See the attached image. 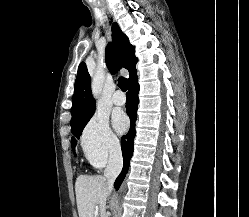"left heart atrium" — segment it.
I'll return each instance as SVG.
<instances>
[{
	"label": "left heart atrium",
	"instance_id": "obj_1",
	"mask_svg": "<svg viewBox=\"0 0 249 217\" xmlns=\"http://www.w3.org/2000/svg\"><path fill=\"white\" fill-rule=\"evenodd\" d=\"M113 124L119 133H123L129 124L128 118L123 113H117L113 117Z\"/></svg>",
	"mask_w": 249,
	"mask_h": 217
}]
</instances>
